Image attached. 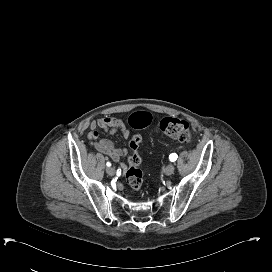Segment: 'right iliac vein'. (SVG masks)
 I'll list each match as a JSON object with an SVG mask.
<instances>
[{
	"instance_id": "63e3f726",
	"label": "right iliac vein",
	"mask_w": 272,
	"mask_h": 272,
	"mask_svg": "<svg viewBox=\"0 0 272 272\" xmlns=\"http://www.w3.org/2000/svg\"><path fill=\"white\" fill-rule=\"evenodd\" d=\"M106 172H107V174L110 175V176H113V175L116 173L115 168H113V167H108V168L106 169Z\"/></svg>"
}]
</instances>
